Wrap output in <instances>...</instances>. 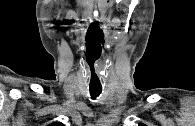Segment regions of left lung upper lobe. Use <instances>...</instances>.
I'll use <instances>...</instances> for the list:
<instances>
[{"mask_svg":"<svg viewBox=\"0 0 195 126\" xmlns=\"http://www.w3.org/2000/svg\"><path fill=\"white\" fill-rule=\"evenodd\" d=\"M139 126H143V124H139Z\"/></svg>","mask_w":195,"mask_h":126,"instance_id":"1","label":"left lung upper lobe"}]
</instances>
